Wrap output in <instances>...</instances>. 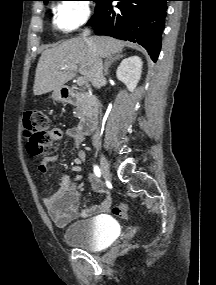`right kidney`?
Listing matches in <instances>:
<instances>
[{"mask_svg": "<svg viewBox=\"0 0 216 285\" xmlns=\"http://www.w3.org/2000/svg\"><path fill=\"white\" fill-rule=\"evenodd\" d=\"M142 72V60L138 56L128 57L120 63L116 71L118 80L123 82L130 92L136 88Z\"/></svg>", "mask_w": 216, "mask_h": 285, "instance_id": "right-kidney-1", "label": "right kidney"}]
</instances>
